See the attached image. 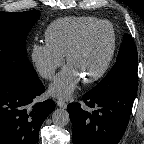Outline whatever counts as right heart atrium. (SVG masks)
I'll return each mask as SVG.
<instances>
[{
  "label": "right heart atrium",
  "mask_w": 144,
  "mask_h": 144,
  "mask_svg": "<svg viewBox=\"0 0 144 144\" xmlns=\"http://www.w3.org/2000/svg\"><path fill=\"white\" fill-rule=\"evenodd\" d=\"M30 58L39 75L51 80L63 65L64 56L60 55L47 43H37L31 48Z\"/></svg>",
  "instance_id": "d8ad5b80"
}]
</instances>
